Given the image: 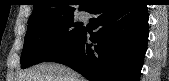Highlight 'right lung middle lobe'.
I'll return each instance as SVG.
<instances>
[{
	"label": "right lung middle lobe",
	"mask_w": 169,
	"mask_h": 81,
	"mask_svg": "<svg viewBox=\"0 0 169 81\" xmlns=\"http://www.w3.org/2000/svg\"><path fill=\"white\" fill-rule=\"evenodd\" d=\"M83 29L73 15L47 18L28 24L21 55V68L45 61L74 40Z\"/></svg>",
	"instance_id": "dd1d6c3e"
}]
</instances>
